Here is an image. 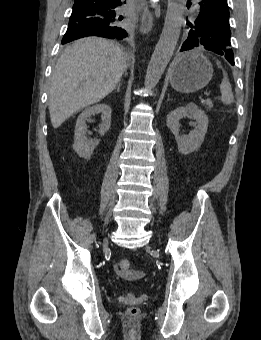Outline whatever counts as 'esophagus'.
Segmentation results:
<instances>
[{
  "mask_svg": "<svg viewBox=\"0 0 261 340\" xmlns=\"http://www.w3.org/2000/svg\"><path fill=\"white\" fill-rule=\"evenodd\" d=\"M154 26V19L152 14L145 10L143 17H142V24H141V32L143 34H148Z\"/></svg>",
  "mask_w": 261,
  "mask_h": 340,
  "instance_id": "esophagus-1",
  "label": "esophagus"
}]
</instances>
